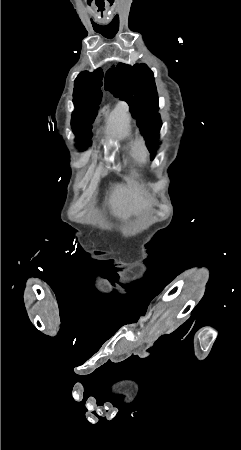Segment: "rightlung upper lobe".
I'll return each instance as SVG.
<instances>
[{
	"label": "right lung upper lobe",
	"mask_w": 241,
	"mask_h": 450,
	"mask_svg": "<svg viewBox=\"0 0 241 450\" xmlns=\"http://www.w3.org/2000/svg\"><path fill=\"white\" fill-rule=\"evenodd\" d=\"M89 73V72H88ZM94 76H97L98 78H100L102 80L103 78V71L101 68L97 69L94 73H91Z\"/></svg>",
	"instance_id": "obj_1"
}]
</instances>
